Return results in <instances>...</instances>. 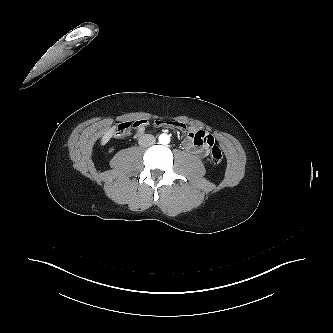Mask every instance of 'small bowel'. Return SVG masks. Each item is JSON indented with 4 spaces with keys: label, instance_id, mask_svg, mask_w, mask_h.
Here are the masks:
<instances>
[{
    "label": "small bowel",
    "instance_id": "small-bowel-1",
    "mask_svg": "<svg viewBox=\"0 0 333 333\" xmlns=\"http://www.w3.org/2000/svg\"><path fill=\"white\" fill-rule=\"evenodd\" d=\"M134 125L136 129V135L141 136L148 126V121L145 119H140L135 121ZM155 125L160 127H170L187 133L186 138L182 143L183 147L186 150L191 151L201 157L207 156L209 148L215 143L213 136L210 134L195 127H187L185 124L179 121L157 120L155 121Z\"/></svg>",
    "mask_w": 333,
    "mask_h": 333
}]
</instances>
